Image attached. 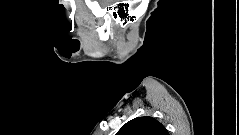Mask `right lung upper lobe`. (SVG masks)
Listing matches in <instances>:
<instances>
[{
  "instance_id": "1",
  "label": "right lung upper lobe",
  "mask_w": 239,
  "mask_h": 135,
  "mask_svg": "<svg viewBox=\"0 0 239 135\" xmlns=\"http://www.w3.org/2000/svg\"><path fill=\"white\" fill-rule=\"evenodd\" d=\"M116 135H169V133L158 120L146 116L128 121Z\"/></svg>"
}]
</instances>
